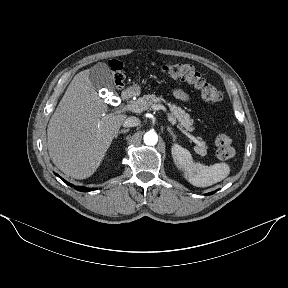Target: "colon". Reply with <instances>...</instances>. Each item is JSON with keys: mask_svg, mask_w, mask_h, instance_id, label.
Here are the masks:
<instances>
[{"mask_svg": "<svg viewBox=\"0 0 288 288\" xmlns=\"http://www.w3.org/2000/svg\"><path fill=\"white\" fill-rule=\"evenodd\" d=\"M114 84L117 88H122L124 85L125 76L123 66L117 60H112L109 63ZM162 72L169 78L180 80L184 83L194 86L199 90L202 98L208 103L215 104L222 100V93L214 85L208 83L202 75L192 66L186 64L164 65ZM216 154L218 158L227 160L233 157L234 148L232 139L225 133H220L215 138Z\"/></svg>", "mask_w": 288, "mask_h": 288, "instance_id": "1", "label": "colon"}]
</instances>
